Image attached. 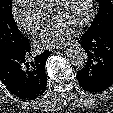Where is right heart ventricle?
Returning <instances> with one entry per match:
<instances>
[{"instance_id":"right-heart-ventricle-1","label":"right heart ventricle","mask_w":113,"mask_h":113,"mask_svg":"<svg viewBox=\"0 0 113 113\" xmlns=\"http://www.w3.org/2000/svg\"><path fill=\"white\" fill-rule=\"evenodd\" d=\"M30 5H32L41 14H45L47 8L52 0H26Z\"/></svg>"}]
</instances>
